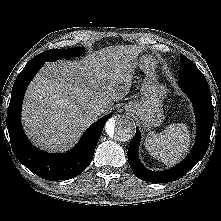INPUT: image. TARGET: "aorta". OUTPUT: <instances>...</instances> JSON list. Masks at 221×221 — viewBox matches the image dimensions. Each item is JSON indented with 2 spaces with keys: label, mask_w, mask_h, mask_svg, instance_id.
Here are the masks:
<instances>
[{
  "label": "aorta",
  "mask_w": 221,
  "mask_h": 221,
  "mask_svg": "<svg viewBox=\"0 0 221 221\" xmlns=\"http://www.w3.org/2000/svg\"><path fill=\"white\" fill-rule=\"evenodd\" d=\"M107 135L116 141H129L135 133L134 122L125 115L110 118L105 125Z\"/></svg>",
  "instance_id": "aorta-1"
}]
</instances>
